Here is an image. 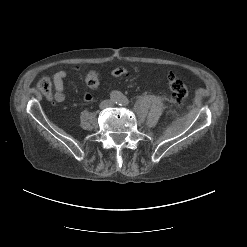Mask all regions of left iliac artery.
<instances>
[{
  "instance_id": "left-iliac-artery-1",
  "label": "left iliac artery",
  "mask_w": 247,
  "mask_h": 247,
  "mask_svg": "<svg viewBox=\"0 0 247 247\" xmlns=\"http://www.w3.org/2000/svg\"><path fill=\"white\" fill-rule=\"evenodd\" d=\"M128 104H129L128 98L125 97V96H122V97L120 98V105L126 106V105H128Z\"/></svg>"
}]
</instances>
